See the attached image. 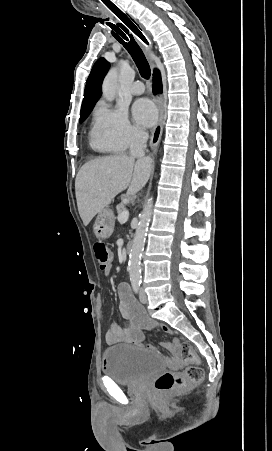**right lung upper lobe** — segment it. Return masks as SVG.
<instances>
[{
	"label": "right lung upper lobe",
	"mask_w": 272,
	"mask_h": 451,
	"mask_svg": "<svg viewBox=\"0 0 272 451\" xmlns=\"http://www.w3.org/2000/svg\"><path fill=\"white\" fill-rule=\"evenodd\" d=\"M109 62L104 58H99L94 64L87 79L84 99L81 108H93L101 96V85L109 69Z\"/></svg>",
	"instance_id": "right-lung-upper-lobe-1"
}]
</instances>
